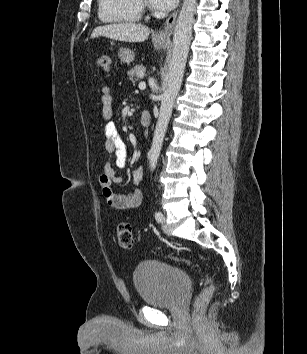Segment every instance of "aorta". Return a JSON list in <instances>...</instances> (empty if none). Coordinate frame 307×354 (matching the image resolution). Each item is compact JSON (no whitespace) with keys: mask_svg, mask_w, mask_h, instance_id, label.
Listing matches in <instances>:
<instances>
[{"mask_svg":"<svg viewBox=\"0 0 307 354\" xmlns=\"http://www.w3.org/2000/svg\"><path fill=\"white\" fill-rule=\"evenodd\" d=\"M196 0H184L178 15L173 35L172 56L168 66L167 88L162 94L159 117L150 149V169L157 165L165 133L170 121L174 101L181 88L187 56L192 38Z\"/></svg>","mask_w":307,"mask_h":354,"instance_id":"1","label":"aorta"}]
</instances>
